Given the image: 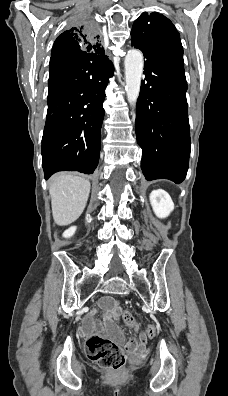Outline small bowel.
<instances>
[{"mask_svg":"<svg viewBox=\"0 0 228 396\" xmlns=\"http://www.w3.org/2000/svg\"><path fill=\"white\" fill-rule=\"evenodd\" d=\"M101 308L104 311V328L115 339L123 342L130 353L133 354L137 348L142 349L146 345L147 337L144 333L139 336V342L137 343L133 339H126L117 327L116 319L121 315V308L114 299H103L101 301ZM93 326L90 319H86L82 327V332L87 333ZM96 326H99V324H96Z\"/></svg>","mask_w":228,"mask_h":396,"instance_id":"c3829d8e","label":"small bowel"}]
</instances>
